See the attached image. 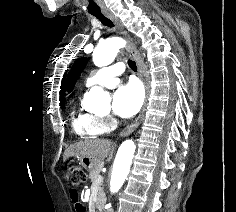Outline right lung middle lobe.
<instances>
[{
    "instance_id": "obj_1",
    "label": "right lung middle lobe",
    "mask_w": 236,
    "mask_h": 212,
    "mask_svg": "<svg viewBox=\"0 0 236 212\" xmlns=\"http://www.w3.org/2000/svg\"><path fill=\"white\" fill-rule=\"evenodd\" d=\"M62 107H64V100L61 101Z\"/></svg>"
}]
</instances>
